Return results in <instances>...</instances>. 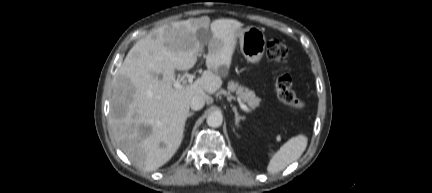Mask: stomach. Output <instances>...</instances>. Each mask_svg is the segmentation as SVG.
I'll list each match as a JSON object with an SVG mask.
<instances>
[{
	"label": "stomach",
	"mask_w": 432,
	"mask_h": 193,
	"mask_svg": "<svg viewBox=\"0 0 432 193\" xmlns=\"http://www.w3.org/2000/svg\"><path fill=\"white\" fill-rule=\"evenodd\" d=\"M236 43L240 45V50L247 61L258 63L265 51L266 37L263 31L254 26L240 28L236 32Z\"/></svg>",
	"instance_id": "1"
}]
</instances>
